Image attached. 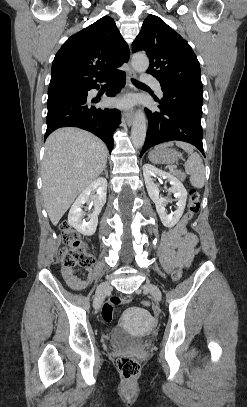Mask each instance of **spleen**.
<instances>
[{
	"instance_id": "1",
	"label": "spleen",
	"mask_w": 247,
	"mask_h": 407,
	"mask_svg": "<svg viewBox=\"0 0 247 407\" xmlns=\"http://www.w3.org/2000/svg\"><path fill=\"white\" fill-rule=\"evenodd\" d=\"M173 142L163 143L158 148L173 146ZM176 145L188 153V160L185 163V171L190 175V183L193 187L201 189L205 184V168L200 155L193 151V147L187 143L176 142Z\"/></svg>"
}]
</instances>
